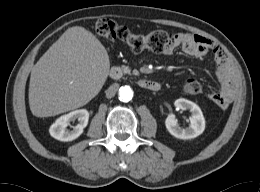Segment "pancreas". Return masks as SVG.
<instances>
[{
    "instance_id": "cf45deb5",
    "label": "pancreas",
    "mask_w": 260,
    "mask_h": 192,
    "mask_svg": "<svg viewBox=\"0 0 260 192\" xmlns=\"http://www.w3.org/2000/svg\"><path fill=\"white\" fill-rule=\"evenodd\" d=\"M121 68H122V70H123V72H124L125 74H131V70H130L129 66L122 65ZM132 74L138 75L139 72H138L137 70H133Z\"/></svg>"
}]
</instances>
